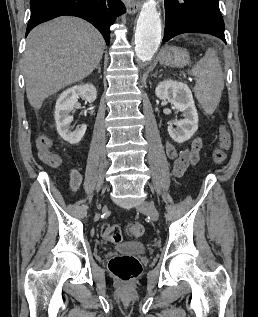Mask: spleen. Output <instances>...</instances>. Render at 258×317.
<instances>
[{
    "instance_id": "obj_1",
    "label": "spleen",
    "mask_w": 258,
    "mask_h": 317,
    "mask_svg": "<svg viewBox=\"0 0 258 317\" xmlns=\"http://www.w3.org/2000/svg\"><path fill=\"white\" fill-rule=\"evenodd\" d=\"M189 74L197 76L194 94L207 114L217 108L224 88L223 72L215 50L208 48L205 56L194 64Z\"/></svg>"
}]
</instances>
